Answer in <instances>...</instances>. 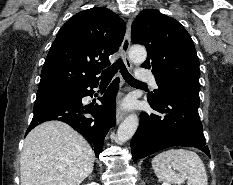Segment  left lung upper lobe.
<instances>
[{"mask_svg":"<svg viewBox=\"0 0 233 185\" xmlns=\"http://www.w3.org/2000/svg\"><path fill=\"white\" fill-rule=\"evenodd\" d=\"M133 44L147 49L143 68L152 69L158 89L152 94L158 103L179 86L199 84V60L189 33L175 19L158 10H142L131 28Z\"/></svg>","mask_w":233,"mask_h":185,"instance_id":"left-lung-upper-lobe-1","label":"left lung upper lobe"}]
</instances>
